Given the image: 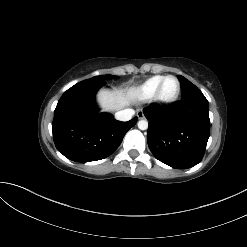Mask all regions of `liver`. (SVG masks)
Returning <instances> with one entry per match:
<instances>
[{"label": "liver", "mask_w": 247, "mask_h": 247, "mask_svg": "<svg viewBox=\"0 0 247 247\" xmlns=\"http://www.w3.org/2000/svg\"><path fill=\"white\" fill-rule=\"evenodd\" d=\"M98 101L104 111H114L129 105V95L122 90L108 91L102 89L98 93Z\"/></svg>", "instance_id": "obj_1"}]
</instances>
